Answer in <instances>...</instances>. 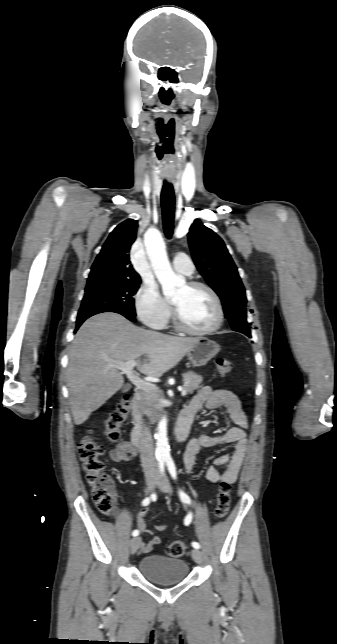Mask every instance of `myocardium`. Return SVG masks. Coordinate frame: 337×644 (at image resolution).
Here are the masks:
<instances>
[{"instance_id": "f54148a6", "label": "myocardium", "mask_w": 337, "mask_h": 644, "mask_svg": "<svg viewBox=\"0 0 337 644\" xmlns=\"http://www.w3.org/2000/svg\"><path fill=\"white\" fill-rule=\"evenodd\" d=\"M186 285L190 289L203 288L209 292L216 306V311H217L216 320L214 324L207 329H204V330L192 329L184 323L176 307L172 304V318H173L175 327L178 330L193 336H209L215 333L217 330L220 329L224 321V308L218 293L215 291L213 287L201 281H189Z\"/></svg>"}]
</instances>
